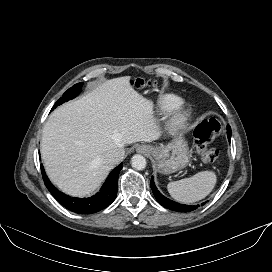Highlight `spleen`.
Instances as JSON below:
<instances>
[{
    "instance_id": "1",
    "label": "spleen",
    "mask_w": 272,
    "mask_h": 272,
    "mask_svg": "<svg viewBox=\"0 0 272 272\" xmlns=\"http://www.w3.org/2000/svg\"><path fill=\"white\" fill-rule=\"evenodd\" d=\"M216 182L214 172L201 171L192 177L168 183L167 190L176 201L190 204L209 195Z\"/></svg>"
}]
</instances>
